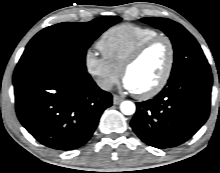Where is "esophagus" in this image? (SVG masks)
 I'll list each match as a JSON object with an SVG mask.
<instances>
[{
	"mask_svg": "<svg viewBox=\"0 0 220 173\" xmlns=\"http://www.w3.org/2000/svg\"><path fill=\"white\" fill-rule=\"evenodd\" d=\"M123 101V98L118 95H113V103L115 105L120 104Z\"/></svg>",
	"mask_w": 220,
	"mask_h": 173,
	"instance_id": "1",
	"label": "esophagus"
}]
</instances>
